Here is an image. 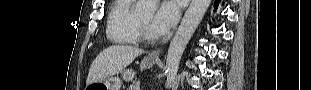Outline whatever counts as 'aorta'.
Returning <instances> with one entry per match:
<instances>
[{"label":"aorta","mask_w":311,"mask_h":90,"mask_svg":"<svg viewBox=\"0 0 311 90\" xmlns=\"http://www.w3.org/2000/svg\"><path fill=\"white\" fill-rule=\"evenodd\" d=\"M211 0H192L180 23V26L168 48L166 59V89H175L176 77L183 52L205 15ZM157 8V0H139L137 11L141 14H152Z\"/></svg>","instance_id":"obj_1"}]
</instances>
